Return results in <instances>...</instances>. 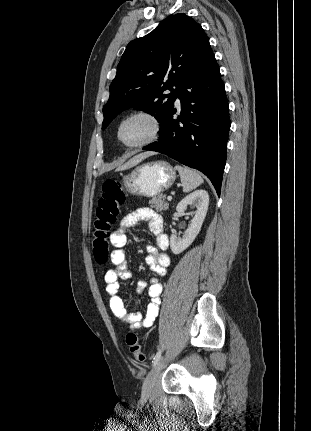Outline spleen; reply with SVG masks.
I'll use <instances>...</instances> for the list:
<instances>
[{
	"mask_svg": "<svg viewBox=\"0 0 311 431\" xmlns=\"http://www.w3.org/2000/svg\"><path fill=\"white\" fill-rule=\"evenodd\" d=\"M174 170H178L179 172L181 184L183 186V192H185V194L192 192V190H196V188L201 186V184L204 182L199 172H196V170L182 168V166H175Z\"/></svg>",
	"mask_w": 311,
	"mask_h": 431,
	"instance_id": "spleen-1",
	"label": "spleen"
}]
</instances>
